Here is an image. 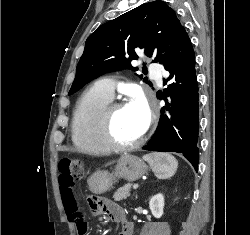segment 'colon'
<instances>
[{
    "mask_svg": "<svg viewBox=\"0 0 250 235\" xmlns=\"http://www.w3.org/2000/svg\"><path fill=\"white\" fill-rule=\"evenodd\" d=\"M59 184L71 188L73 183L83 176V164L79 159H63L58 164Z\"/></svg>",
    "mask_w": 250,
    "mask_h": 235,
    "instance_id": "colon-1",
    "label": "colon"
}]
</instances>
